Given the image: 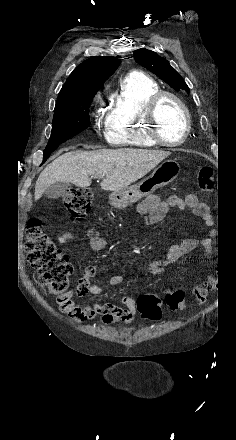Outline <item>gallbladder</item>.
I'll return each mask as SVG.
<instances>
[{
    "label": "gallbladder",
    "instance_id": "gallbladder-1",
    "mask_svg": "<svg viewBox=\"0 0 236 440\" xmlns=\"http://www.w3.org/2000/svg\"><path fill=\"white\" fill-rule=\"evenodd\" d=\"M71 187V184L68 182H56L50 185L46 191L45 196L48 199H57L63 196L67 189Z\"/></svg>",
    "mask_w": 236,
    "mask_h": 440
}]
</instances>
